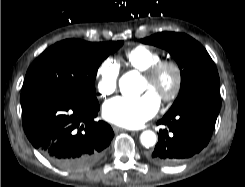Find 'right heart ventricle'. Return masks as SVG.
<instances>
[{
	"label": "right heart ventricle",
	"mask_w": 245,
	"mask_h": 187,
	"mask_svg": "<svg viewBox=\"0 0 245 187\" xmlns=\"http://www.w3.org/2000/svg\"><path fill=\"white\" fill-rule=\"evenodd\" d=\"M124 56L128 64L139 71H146L162 58L160 51L145 45H136L127 49Z\"/></svg>",
	"instance_id": "e07e8e85"
}]
</instances>
